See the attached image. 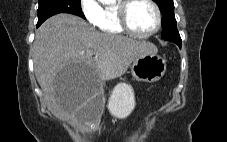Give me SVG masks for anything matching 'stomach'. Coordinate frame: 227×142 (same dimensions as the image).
<instances>
[{"mask_svg": "<svg viewBox=\"0 0 227 142\" xmlns=\"http://www.w3.org/2000/svg\"><path fill=\"white\" fill-rule=\"evenodd\" d=\"M166 71V60L157 54H147L136 58L131 66V73L137 81L153 83L160 80ZM135 94L127 83H119L113 89L108 108L117 118H126L134 109Z\"/></svg>", "mask_w": 227, "mask_h": 142, "instance_id": "0dacf381", "label": "stomach"}]
</instances>
